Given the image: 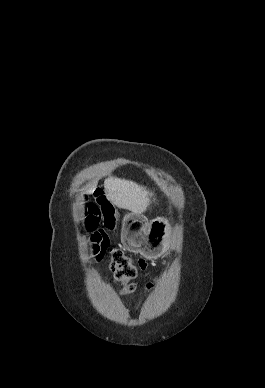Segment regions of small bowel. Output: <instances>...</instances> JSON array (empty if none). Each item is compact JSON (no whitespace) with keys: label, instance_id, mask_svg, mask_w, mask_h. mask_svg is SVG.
I'll return each mask as SVG.
<instances>
[{"label":"small bowel","instance_id":"small-bowel-1","mask_svg":"<svg viewBox=\"0 0 265 388\" xmlns=\"http://www.w3.org/2000/svg\"><path fill=\"white\" fill-rule=\"evenodd\" d=\"M140 266L144 269L145 264L143 262H140Z\"/></svg>","mask_w":265,"mask_h":388}]
</instances>
